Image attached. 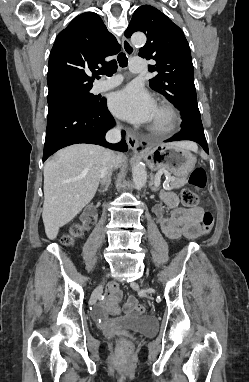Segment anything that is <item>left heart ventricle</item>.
Segmentation results:
<instances>
[{
	"instance_id": "obj_1",
	"label": "left heart ventricle",
	"mask_w": 249,
	"mask_h": 382,
	"mask_svg": "<svg viewBox=\"0 0 249 382\" xmlns=\"http://www.w3.org/2000/svg\"><path fill=\"white\" fill-rule=\"evenodd\" d=\"M165 121H166V115L164 114V112L156 108L153 114V117L150 121V125L161 126L165 123Z\"/></svg>"
}]
</instances>
